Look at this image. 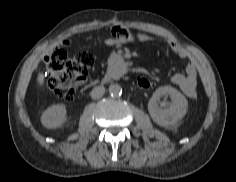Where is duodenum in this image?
<instances>
[{
    "instance_id": "obj_1",
    "label": "duodenum",
    "mask_w": 236,
    "mask_h": 182,
    "mask_svg": "<svg viewBox=\"0 0 236 182\" xmlns=\"http://www.w3.org/2000/svg\"><path fill=\"white\" fill-rule=\"evenodd\" d=\"M125 74V63L123 60L113 61L106 72L103 80L109 81L112 79H117L122 77Z\"/></svg>"
}]
</instances>
